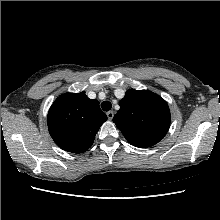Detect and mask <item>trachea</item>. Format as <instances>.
Masks as SVG:
<instances>
[{"label":"trachea","instance_id":"1","mask_svg":"<svg viewBox=\"0 0 220 220\" xmlns=\"http://www.w3.org/2000/svg\"><path fill=\"white\" fill-rule=\"evenodd\" d=\"M112 104L109 101H103L101 103V108L103 109V111L107 112L111 109Z\"/></svg>","mask_w":220,"mask_h":220}]
</instances>
